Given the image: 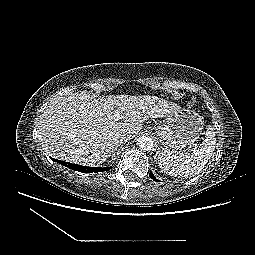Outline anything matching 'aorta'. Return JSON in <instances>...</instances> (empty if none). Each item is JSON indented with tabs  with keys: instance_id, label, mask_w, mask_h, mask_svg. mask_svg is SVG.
Instances as JSON below:
<instances>
[{
	"instance_id": "obj_1",
	"label": "aorta",
	"mask_w": 255,
	"mask_h": 255,
	"mask_svg": "<svg viewBox=\"0 0 255 255\" xmlns=\"http://www.w3.org/2000/svg\"><path fill=\"white\" fill-rule=\"evenodd\" d=\"M153 139L149 136H141L137 139V145L141 150L149 151L153 148Z\"/></svg>"
}]
</instances>
